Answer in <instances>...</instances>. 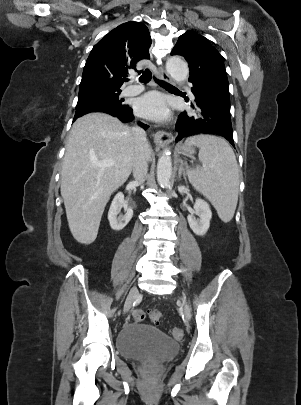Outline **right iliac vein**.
<instances>
[{
    "mask_svg": "<svg viewBox=\"0 0 301 405\" xmlns=\"http://www.w3.org/2000/svg\"><path fill=\"white\" fill-rule=\"evenodd\" d=\"M138 295V289L136 287L131 288L129 295L126 299L125 305H124V313H127L133 304L134 299L137 297Z\"/></svg>",
    "mask_w": 301,
    "mask_h": 405,
    "instance_id": "obj_1",
    "label": "right iliac vein"
}]
</instances>
